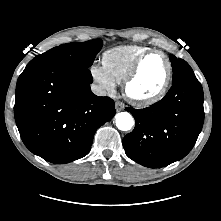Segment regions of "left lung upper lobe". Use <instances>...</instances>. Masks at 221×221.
<instances>
[{
	"instance_id": "5c2ea615",
	"label": "left lung upper lobe",
	"mask_w": 221,
	"mask_h": 221,
	"mask_svg": "<svg viewBox=\"0 0 221 221\" xmlns=\"http://www.w3.org/2000/svg\"><path fill=\"white\" fill-rule=\"evenodd\" d=\"M170 61L173 69L172 83H176L187 77L195 76L192 68L183 59L176 58L174 55H170Z\"/></svg>"
}]
</instances>
